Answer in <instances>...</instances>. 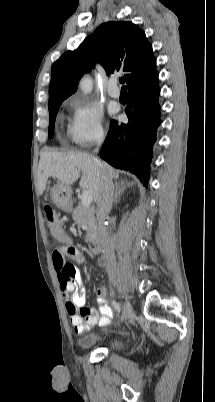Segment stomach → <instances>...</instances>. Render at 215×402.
Listing matches in <instances>:
<instances>
[{
  "label": "stomach",
  "instance_id": "0dacf381",
  "mask_svg": "<svg viewBox=\"0 0 215 402\" xmlns=\"http://www.w3.org/2000/svg\"><path fill=\"white\" fill-rule=\"evenodd\" d=\"M71 193V187L60 182H57L50 190L52 202L65 212L72 209Z\"/></svg>",
  "mask_w": 215,
  "mask_h": 402
}]
</instances>
